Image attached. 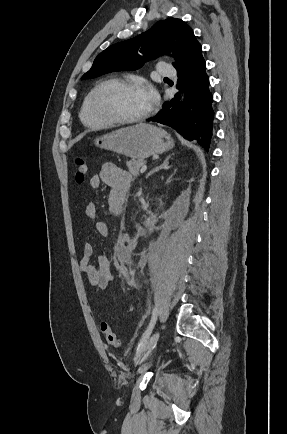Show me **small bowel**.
<instances>
[{"mask_svg":"<svg viewBox=\"0 0 287 434\" xmlns=\"http://www.w3.org/2000/svg\"><path fill=\"white\" fill-rule=\"evenodd\" d=\"M131 183V174L114 163H104L97 174L89 178V187L97 190L101 185L109 189V212L118 216L123 211V206ZM87 219L94 221L96 232L103 236L110 235V226L105 221L98 220V206L90 202L84 208ZM95 248L92 242L87 241L83 245L82 257L79 269L89 284L97 291L105 290L113 280V272L107 257L99 254L94 261Z\"/></svg>","mask_w":287,"mask_h":434,"instance_id":"small-bowel-1","label":"small bowel"}]
</instances>
